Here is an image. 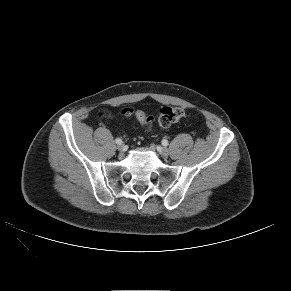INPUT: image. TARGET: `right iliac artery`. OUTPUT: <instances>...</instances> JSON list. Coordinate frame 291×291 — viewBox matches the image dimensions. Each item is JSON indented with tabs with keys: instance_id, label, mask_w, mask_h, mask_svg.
<instances>
[{
	"instance_id": "1",
	"label": "right iliac artery",
	"mask_w": 291,
	"mask_h": 291,
	"mask_svg": "<svg viewBox=\"0 0 291 291\" xmlns=\"http://www.w3.org/2000/svg\"><path fill=\"white\" fill-rule=\"evenodd\" d=\"M115 141H116L117 144H121L122 143V140L120 138H117Z\"/></svg>"
}]
</instances>
